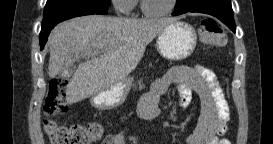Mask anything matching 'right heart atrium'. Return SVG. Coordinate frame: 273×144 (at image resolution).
<instances>
[{
  "instance_id": "obj_1",
  "label": "right heart atrium",
  "mask_w": 273,
  "mask_h": 144,
  "mask_svg": "<svg viewBox=\"0 0 273 144\" xmlns=\"http://www.w3.org/2000/svg\"><path fill=\"white\" fill-rule=\"evenodd\" d=\"M111 4L114 7V10L118 14H129L131 13L135 6V0H111Z\"/></svg>"
}]
</instances>
